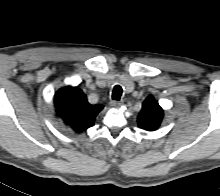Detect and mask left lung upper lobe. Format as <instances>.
<instances>
[{
  "label": "left lung upper lobe",
  "mask_w": 220,
  "mask_h": 196,
  "mask_svg": "<svg viewBox=\"0 0 220 196\" xmlns=\"http://www.w3.org/2000/svg\"><path fill=\"white\" fill-rule=\"evenodd\" d=\"M162 118L163 109L152 95L148 96L138 115V126L147 131H155L159 128Z\"/></svg>",
  "instance_id": "obj_1"
}]
</instances>
